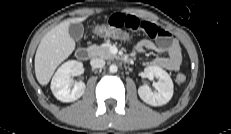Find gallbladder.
Wrapping results in <instances>:
<instances>
[{"instance_id": "1", "label": "gallbladder", "mask_w": 231, "mask_h": 134, "mask_svg": "<svg viewBox=\"0 0 231 134\" xmlns=\"http://www.w3.org/2000/svg\"><path fill=\"white\" fill-rule=\"evenodd\" d=\"M68 31H69L70 36L74 40H79L83 35L84 28H83L82 24H80V23H71L69 25Z\"/></svg>"}]
</instances>
